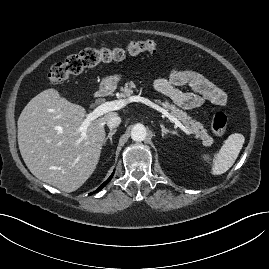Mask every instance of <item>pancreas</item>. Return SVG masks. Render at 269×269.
<instances>
[{
    "mask_svg": "<svg viewBox=\"0 0 269 269\" xmlns=\"http://www.w3.org/2000/svg\"><path fill=\"white\" fill-rule=\"evenodd\" d=\"M134 90H137L134 82H127L125 83L124 87L120 89V96H131L133 95ZM155 102L162 105L167 111L170 112L173 117L181 121L188 129V131L194 134L196 138H200L207 145L211 144L210 141H212V138L207 133V130L204 128L202 123L196 121L195 119H192V117L189 116L186 112L177 108L175 105L170 104L167 100L164 102H162L161 100H155Z\"/></svg>",
    "mask_w": 269,
    "mask_h": 269,
    "instance_id": "pancreas-1",
    "label": "pancreas"
}]
</instances>
